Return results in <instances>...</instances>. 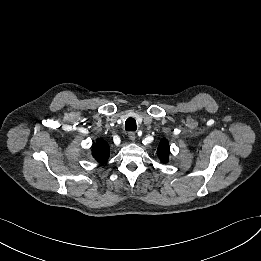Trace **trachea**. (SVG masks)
<instances>
[{
    "mask_svg": "<svg viewBox=\"0 0 261 261\" xmlns=\"http://www.w3.org/2000/svg\"><path fill=\"white\" fill-rule=\"evenodd\" d=\"M125 129L127 131H135L137 129L136 121L133 118H128L125 122Z\"/></svg>",
    "mask_w": 261,
    "mask_h": 261,
    "instance_id": "trachea-1",
    "label": "trachea"
}]
</instances>
